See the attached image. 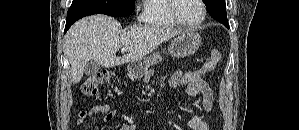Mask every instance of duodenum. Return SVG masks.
I'll return each instance as SVG.
<instances>
[{
    "label": "duodenum",
    "mask_w": 299,
    "mask_h": 130,
    "mask_svg": "<svg viewBox=\"0 0 299 130\" xmlns=\"http://www.w3.org/2000/svg\"><path fill=\"white\" fill-rule=\"evenodd\" d=\"M129 72H130L131 74H133V73H134L133 69H130V70H129Z\"/></svg>",
    "instance_id": "duodenum-1"
}]
</instances>
